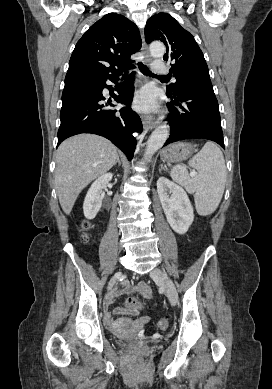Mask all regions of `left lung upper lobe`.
Masks as SVG:
<instances>
[{
	"label": "left lung upper lobe",
	"instance_id": "obj_1",
	"mask_svg": "<svg viewBox=\"0 0 272 389\" xmlns=\"http://www.w3.org/2000/svg\"><path fill=\"white\" fill-rule=\"evenodd\" d=\"M147 43L164 42L167 52L164 60L172 62L170 71L176 82L167 87V95H176L182 86L211 84L208 66L192 34L169 14L158 13L148 19L145 26Z\"/></svg>",
	"mask_w": 272,
	"mask_h": 389
}]
</instances>
